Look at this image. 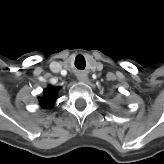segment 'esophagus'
Instances as JSON below:
<instances>
[{"label":"esophagus","mask_w":164,"mask_h":164,"mask_svg":"<svg viewBox=\"0 0 164 164\" xmlns=\"http://www.w3.org/2000/svg\"><path fill=\"white\" fill-rule=\"evenodd\" d=\"M78 80L80 81V82H88L89 81V78H88V76H87V74L86 73H83V72H81V73H79L78 74Z\"/></svg>","instance_id":"1"}]
</instances>
